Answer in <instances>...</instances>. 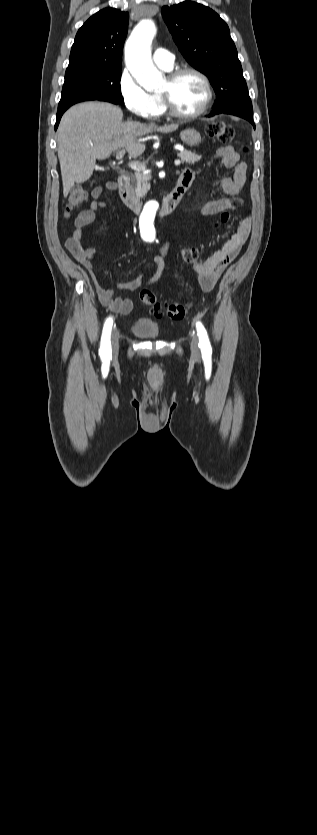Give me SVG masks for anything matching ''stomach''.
Instances as JSON below:
<instances>
[{"label":"stomach","mask_w":317,"mask_h":835,"mask_svg":"<svg viewBox=\"0 0 317 835\" xmlns=\"http://www.w3.org/2000/svg\"><path fill=\"white\" fill-rule=\"evenodd\" d=\"M180 137L185 144L191 147L198 146L201 143L200 133L192 128L182 130L180 132Z\"/></svg>","instance_id":"stomach-1"}]
</instances>
